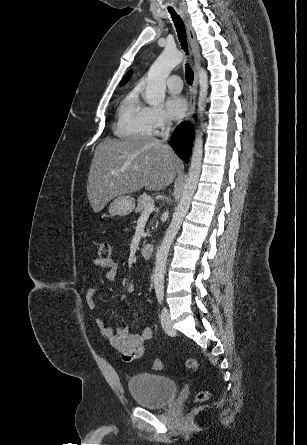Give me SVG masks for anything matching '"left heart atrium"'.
<instances>
[{
  "mask_svg": "<svg viewBox=\"0 0 307 445\" xmlns=\"http://www.w3.org/2000/svg\"><path fill=\"white\" fill-rule=\"evenodd\" d=\"M164 107L167 115L175 120L182 118L187 111L186 100L175 93H168L164 99Z\"/></svg>",
  "mask_w": 307,
  "mask_h": 445,
  "instance_id": "left-heart-atrium-1",
  "label": "left heart atrium"
}]
</instances>
